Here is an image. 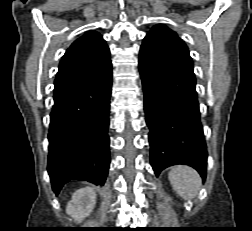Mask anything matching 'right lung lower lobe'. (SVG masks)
I'll return each mask as SVG.
<instances>
[{"label": "right lung lower lobe", "mask_w": 252, "mask_h": 231, "mask_svg": "<svg viewBox=\"0 0 252 231\" xmlns=\"http://www.w3.org/2000/svg\"><path fill=\"white\" fill-rule=\"evenodd\" d=\"M111 86L110 72L54 98L47 170L56 195L71 180L104 185L110 164Z\"/></svg>", "instance_id": "obj_1"}]
</instances>
